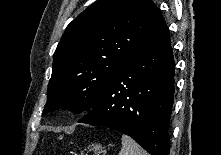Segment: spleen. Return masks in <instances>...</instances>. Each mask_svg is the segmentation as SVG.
I'll list each match as a JSON object with an SVG mask.
<instances>
[{
	"label": "spleen",
	"mask_w": 221,
	"mask_h": 155,
	"mask_svg": "<svg viewBox=\"0 0 221 155\" xmlns=\"http://www.w3.org/2000/svg\"><path fill=\"white\" fill-rule=\"evenodd\" d=\"M119 155H147V153L132 138L122 135V148Z\"/></svg>",
	"instance_id": "spleen-1"
}]
</instances>
